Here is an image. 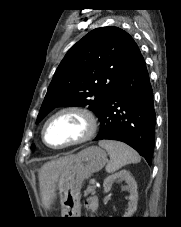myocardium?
Instances as JSON below:
<instances>
[{"mask_svg":"<svg viewBox=\"0 0 181 227\" xmlns=\"http://www.w3.org/2000/svg\"><path fill=\"white\" fill-rule=\"evenodd\" d=\"M62 114H75V115L81 117L84 121L85 129H84V132L82 133V135L79 136L78 138H76L72 141H69L65 144H62L59 146H54V145L49 144L46 139V129H47L49 123L53 119H55L56 117H58ZM96 129H97V119L91 110L81 107V106L71 105V106H65V107L57 110L56 112H54L47 118V120L45 121V123L42 127V130H41V137H42V141L44 142V144L46 146H48L52 149H63V148H67L70 146H74V145H78V144L87 142L94 136Z\"/></svg>","mask_w":181,"mask_h":227,"instance_id":"myocardium-1","label":"myocardium"}]
</instances>
